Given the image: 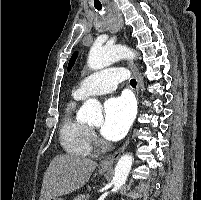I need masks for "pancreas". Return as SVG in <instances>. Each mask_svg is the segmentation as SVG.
I'll use <instances>...</instances> for the list:
<instances>
[{
  "label": "pancreas",
  "mask_w": 201,
  "mask_h": 200,
  "mask_svg": "<svg viewBox=\"0 0 201 200\" xmlns=\"http://www.w3.org/2000/svg\"><path fill=\"white\" fill-rule=\"evenodd\" d=\"M73 200H89V196L88 195H78Z\"/></svg>",
  "instance_id": "cf45deb5"
}]
</instances>
